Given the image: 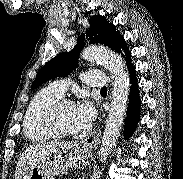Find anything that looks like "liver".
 Returning a JSON list of instances; mask_svg holds the SVG:
<instances>
[{
    "mask_svg": "<svg viewBox=\"0 0 183 179\" xmlns=\"http://www.w3.org/2000/svg\"><path fill=\"white\" fill-rule=\"evenodd\" d=\"M62 145L63 143L59 142H49L26 148L18 160L15 179H22L23 175L29 168H31V166L46 158L49 152L61 147Z\"/></svg>",
    "mask_w": 183,
    "mask_h": 179,
    "instance_id": "6515ba94",
    "label": "liver"
}]
</instances>
